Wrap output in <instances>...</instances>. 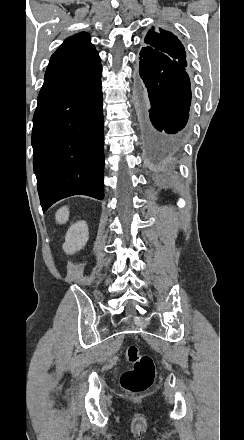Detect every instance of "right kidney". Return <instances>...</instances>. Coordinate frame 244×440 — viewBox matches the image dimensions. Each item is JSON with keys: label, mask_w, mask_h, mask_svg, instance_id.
<instances>
[{"label": "right kidney", "mask_w": 244, "mask_h": 440, "mask_svg": "<svg viewBox=\"0 0 244 440\" xmlns=\"http://www.w3.org/2000/svg\"><path fill=\"white\" fill-rule=\"evenodd\" d=\"M88 238V226L84 220H79L69 228L62 248L66 254H75V252L82 250Z\"/></svg>", "instance_id": "right-kidney-1"}]
</instances>
